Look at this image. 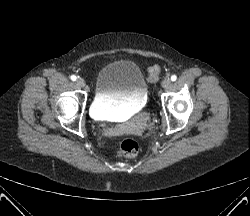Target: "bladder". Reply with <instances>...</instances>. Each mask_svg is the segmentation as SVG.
Returning a JSON list of instances; mask_svg holds the SVG:
<instances>
[{
  "label": "bladder",
  "mask_w": 250,
  "mask_h": 216,
  "mask_svg": "<svg viewBox=\"0 0 250 216\" xmlns=\"http://www.w3.org/2000/svg\"><path fill=\"white\" fill-rule=\"evenodd\" d=\"M147 100L148 87L139 66L116 60L98 71L91 112L98 118L121 117L143 109Z\"/></svg>",
  "instance_id": "obj_1"
}]
</instances>
